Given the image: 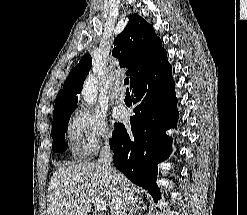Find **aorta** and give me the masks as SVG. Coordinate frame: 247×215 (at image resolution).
I'll return each mask as SVG.
<instances>
[{"instance_id": "1", "label": "aorta", "mask_w": 247, "mask_h": 215, "mask_svg": "<svg viewBox=\"0 0 247 215\" xmlns=\"http://www.w3.org/2000/svg\"><path fill=\"white\" fill-rule=\"evenodd\" d=\"M82 97L88 105H93L97 97V79L89 75L85 80L82 90Z\"/></svg>"}]
</instances>
